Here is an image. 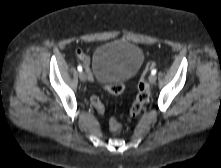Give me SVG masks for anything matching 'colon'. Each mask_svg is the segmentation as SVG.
<instances>
[{
	"mask_svg": "<svg viewBox=\"0 0 221 168\" xmlns=\"http://www.w3.org/2000/svg\"><path fill=\"white\" fill-rule=\"evenodd\" d=\"M156 65L157 64L155 62H149L147 63L145 67V71L143 75L141 76L138 86H137L138 93H137L136 99L133 102L131 109H130L131 117H137L141 113L145 103L147 102L149 98V87H148L147 80H146V73L150 71L151 69L155 68ZM108 91L113 95H121L124 91V85L122 83H114L108 87ZM91 102L98 113L100 114L104 113L105 111L104 105L102 104V102L100 101L98 97L93 96L91 98ZM109 128L111 131L116 132L120 130L121 124L115 118H110Z\"/></svg>",
	"mask_w": 221,
	"mask_h": 168,
	"instance_id": "colon-1",
	"label": "colon"
}]
</instances>
